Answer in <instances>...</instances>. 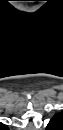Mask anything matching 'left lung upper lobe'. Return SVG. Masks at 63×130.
Here are the masks:
<instances>
[{"mask_svg": "<svg viewBox=\"0 0 63 130\" xmlns=\"http://www.w3.org/2000/svg\"><path fill=\"white\" fill-rule=\"evenodd\" d=\"M63 115L62 113H57L54 117L50 120L49 124L47 125V130H61L63 127Z\"/></svg>", "mask_w": 63, "mask_h": 130, "instance_id": "left-lung-upper-lobe-1", "label": "left lung upper lobe"}]
</instances>
